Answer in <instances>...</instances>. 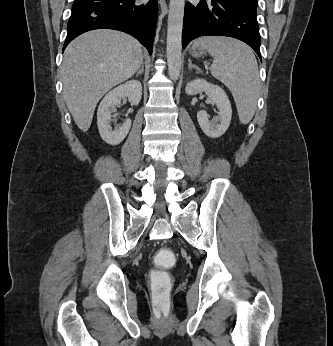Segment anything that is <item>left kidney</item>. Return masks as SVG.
<instances>
[{"instance_id": "left-kidney-1", "label": "left kidney", "mask_w": 333, "mask_h": 346, "mask_svg": "<svg viewBox=\"0 0 333 346\" xmlns=\"http://www.w3.org/2000/svg\"><path fill=\"white\" fill-rule=\"evenodd\" d=\"M185 91L188 95H196L204 91L216 104L219 110L217 121H209L208 115L204 111L197 113V120L202 131L208 137L218 138L222 136L228 129L232 117V108L226 92L218 85L211 84L204 79H194L187 83Z\"/></svg>"}]
</instances>
